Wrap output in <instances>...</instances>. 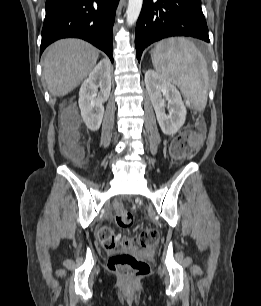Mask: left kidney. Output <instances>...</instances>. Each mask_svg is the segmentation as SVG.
<instances>
[{
    "mask_svg": "<svg viewBox=\"0 0 261 306\" xmlns=\"http://www.w3.org/2000/svg\"><path fill=\"white\" fill-rule=\"evenodd\" d=\"M145 85L162 132L174 135L183 126L187 113L178 89L151 69L145 73ZM166 101L169 114L165 111Z\"/></svg>",
    "mask_w": 261,
    "mask_h": 306,
    "instance_id": "obj_1",
    "label": "left kidney"
}]
</instances>
